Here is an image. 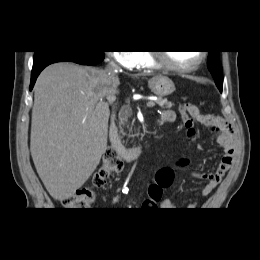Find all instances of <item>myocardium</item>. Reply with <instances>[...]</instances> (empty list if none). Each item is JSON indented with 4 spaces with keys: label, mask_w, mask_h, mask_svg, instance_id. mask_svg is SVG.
Returning <instances> with one entry per match:
<instances>
[{
    "label": "myocardium",
    "mask_w": 260,
    "mask_h": 260,
    "mask_svg": "<svg viewBox=\"0 0 260 260\" xmlns=\"http://www.w3.org/2000/svg\"><path fill=\"white\" fill-rule=\"evenodd\" d=\"M148 55L150 56L152 61L158 66L163 67L170 71L181 72V73L191 72L196 70L204 62L206 58V53L204 51H199V58L195 63L187 66H180L171 63L167 58L165 52L152 50L148 52Z\"/></svg>",
    "instance_id": "myocardium-1"
}]
</instances>
